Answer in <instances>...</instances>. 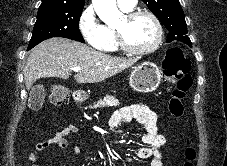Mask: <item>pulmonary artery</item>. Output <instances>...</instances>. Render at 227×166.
Here are the masks:
<instances>
[{
    "label": "pulmonary artery",
    "mask_w": 227,
    "mask_h": 166,
    "mask_svg": "<svg viewBox=\"0 0 227 166\" xmlns=\"http://www.w3.org/2000/svg\"><path fill=\"white\" fill-rule=\"evenodd\" d=\"M120 8L124 10H131L135 7L137 0H117Z\"/></svg>",
    "instance_id": "pulmonary-artery-1"
}]
</instances>
